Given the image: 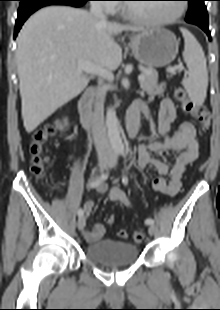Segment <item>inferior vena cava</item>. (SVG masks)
I'll return each mask as SVG.
<instances>
[{"label": "inferior vena cava", "instance_id": "inferior-vena-cava-1", "mask_svg": "<svg viewBox=\"0 0 220 310\" xmlns=\"http://www.w3.org/2000/svg\"><path fill=\"white\" fill-rule=\"evenodd\" d=\"M90 13L102 22H106L107 20L102 4L98 1H92ZM105 95V87L103 85H99L96 90L92 119V135L99 156L111 155L113 153V148L108 140L104 123Z\"/></svg>", "mask_w": 220, "mask_h": 310}]
</instances>
